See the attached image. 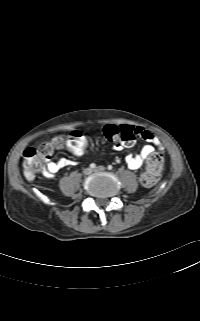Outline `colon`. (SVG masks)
I'll return each instance as SVG.
<instances>
[{"label": "colon", "mask_w": 200, "mask_h": 321, "mask_svg": "<svg viewBox=\"0 0 200 321\" xmlns=\"http://www.w3.org/2000/svg\"><path fill=\"white\" fill-rule=\"evenodd\" d=\"M104 137L111 141L130 147L134 145L139 131L132 126L106 125L100 130ZM67 146L73 155H85V138L79 131L71 132L67 137ZM54 147L51 143H45L38 148H27L23 153V166L27 178H33L36 171L42 164L49 160ZM163 169V159L161 155L153 153L149 156L145 170L141 174V183L146 187L157 184Z\"/></svg>", "instance_id": "5ec220e1"}]
</instances>
